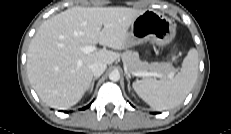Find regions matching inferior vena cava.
<instances>
[{"instance_id":"1","label":"inferior vena cava","mask_w":231,"mask_h":134,"mask_svg":"<svg viewBox=\"0 0 231 134\" xmlns=\"http://www.w3.org/2000/svg\"><path fill=\"white\" fill-rule=\"evenodd\" d=\"M107 65L103 62H95L91 65L92 74L95 77L101 76L106 70Z\"/></svg>"}]
</instances>
